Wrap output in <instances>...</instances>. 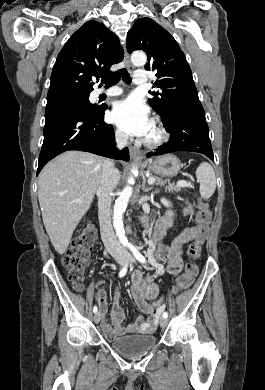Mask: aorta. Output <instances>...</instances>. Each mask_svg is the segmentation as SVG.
<instances>
[{
    "label": "aorta",
    "instance_id": "obj_1",
    "mask_svg": "<svg viewBox=\"0 0 265 390\" xmlns=\"http://www.w3.org/2000/svg\"><path fill=\"white\" fill-rule=\"evenodd\" d=\"M131 62L134 66H144L147 62V57L143 52H134L131 55ZM137 169H132V174L136 173ZM134 183V178L131 176L128 179V185L122 190L119 197L115 201L113 209V227L121 244L124 246L128 245V240L125 236L124 224H123V214L126 210L127 204L130 197L132 196V186Z\"/></svg>",
    "mask_w": 265,
    "mask_h": 390
}]
</instances>
